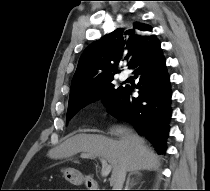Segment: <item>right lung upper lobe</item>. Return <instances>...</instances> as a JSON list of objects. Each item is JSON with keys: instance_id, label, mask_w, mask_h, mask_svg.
Returning <instances> with one entry per match:
<instances>
[{"instance_id": "obj_1", "label": "right lung upper lobe", "mask_w": 210, "mask_h": 191, "mask_svg": "<svg viewBox=\"0 0 210 191\" xmlns=\"http://www.w3.org/2000/svg\"><path fill=\"white\" fill-rule=\"evenodd\" d=\"M151 31L149 25L135 23L132 28L117 29L90 44L79 59L69 100L88 93L113 76L120 61L127 60L130 68L156 38Z\"/></svg>"}]
</instances>
